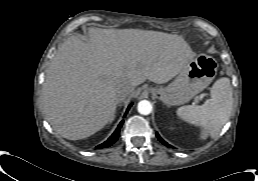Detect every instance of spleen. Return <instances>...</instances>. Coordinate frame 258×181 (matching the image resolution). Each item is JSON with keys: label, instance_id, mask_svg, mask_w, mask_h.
Listing matches in <instances>:
<instances>
[{"label": "spleen", "instance_id": "obj_1", "mask_svg": "<svg viewBox=\"0 0 258 181\" xmlns=\"http://www.w3.org/2000/svg\"><path fill=\"white\" fill-rule=\"evenodd\" d=\"M210 99L201 106H182L177 116L202 128L201 139L216 137L228 121L233 104L232 87L227 77L218 79L210 90Z\"/></svg>", "mask_w": 258, "mask_h": 181}]
</instances>
